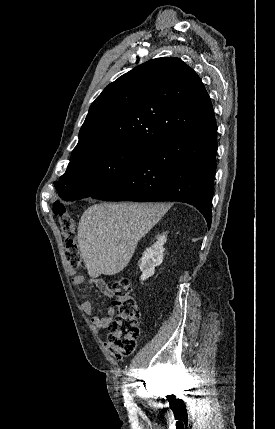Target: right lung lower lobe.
I'll use <instances>...</instances> for the list:
<instances>
[{
	"label": "right lung lower lobe",
	"instance_id": "obj_1",
	"mask_svg": "<svg viewBox=\"0 0 275 429\" xmlns=\"http://www.w3.org/2000/svg\"><path fill=\"white\" fill-rule=\"evenodd\" d=\"M216 154V122L176 134L151 149L137 168L92 198L188 203L200 210L210 228Z\"/></svg>",
	"mask_w": 275,
	"mask_h": 429
}]
</instances>
